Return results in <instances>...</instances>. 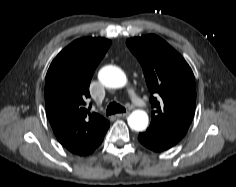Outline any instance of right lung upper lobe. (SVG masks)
I'll return each instance as SVG.
<instances>
[{"instance_id":"obj_1","label":"right lung upper lobe","mask_w":236,"mask_h":187,"mask_svg":"<svg viewBox=\"0 0 236 187\" xmlns=\"http://www.w3.org/2000/svg\"><path fill=\"white\" fill-rule=\"evenodd\" d=\"M111 45L105 38L77 39L52 61L45 81V106L58 141L71 153L86 156L103 141L110 123L90 113L86 101L95 68Z\"/></svg>"}]
</instances>
